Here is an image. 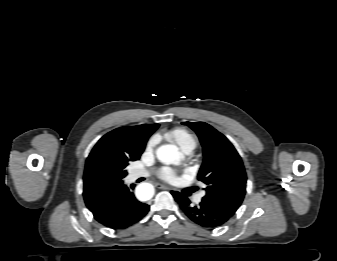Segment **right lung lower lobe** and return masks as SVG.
Wrapping results in <instances>:
<instances>
[{
	"label": "right lung lower lobe",
	"mask_w": 337,
	"mask_h": 261,
	"mask_svg": "<svg viewBox=\"0 0 337 261\" xmlns=\"http://www.w3.org/2000/svg\"><path fill=\"white\" fill-rule=\"evenodd\" d=\"M132 185L131 188H133ZM149 211V205L139 202L123 183L109 193L92 211L94 218L102 225L115 230L125 229Z\"/></svg>",
	"instance_id": "1"
}]
</instances>
